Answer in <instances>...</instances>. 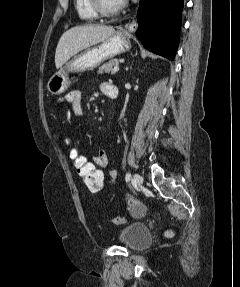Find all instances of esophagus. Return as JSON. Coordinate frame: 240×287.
Here are the masks:
<instances>
[{
  "instance_id": "obj_1",
  "label": "esophagus",
  "mask_w": 240,
  "mask_h": 287,
  "mask_svg": "<svg viewBox=\"0 0 240 287\" xmlns=\"http://www.w3.org/2000/svg\"><path fill=\"white\" fill-rule=\"evenodd\" d=\"M137 27H138L137 22H136L135 20H133L130 24H128V25L126 26V29H127L129 32H134V31H136Z\"/></svg>"
}]
</instances>
